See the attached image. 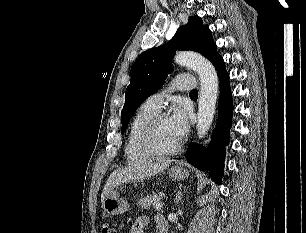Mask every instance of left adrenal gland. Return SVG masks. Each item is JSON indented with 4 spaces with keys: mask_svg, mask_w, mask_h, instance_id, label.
<instances>
[{
    "mask_svg": "<svg viewBox=\"0 0 306 233\" xmlns=\"http://www.w3.org/2000/svg\"><path fill=\"white\" fill-rule=\"evenodd\" d=\"M181 201V192H178L177 194V202Z\"/></svg>",
    "mask_w": 306,
    "mask_h": 233,
    "instance_id": "obj_1",
    "label": "left adrenal gland"
}]
</instances>
